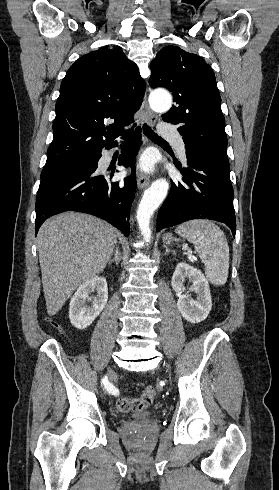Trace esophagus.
I'll return each mask as SVG.
<instances>
[{
  "label": "esophagus",
  "mask_w": 279,
  "mask_h": 490,
  "mask_svg": "<svg viewBox=\"0 0 279 490\" xmlns=\"http://www.w3.org/2000/svg\"><path fill=\"white\" fill-rule=\"evenodd\" d=\"M143 107L147 113V121L150 125H155V123L158 120V116L150 110L147 104V96L145 94L144 101H143ZM150 183V178L149 176L144 173V172H139L138 177H137V186L139 189H143L147 187Z\"/></svg>",
  "instance_id": "esophagus-1"
}]
</instances>
